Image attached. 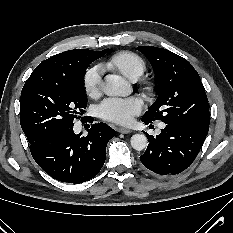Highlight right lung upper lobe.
Returning a JSON list of instances; mask_svg holds the SVG:
<instances>
[{"label": "right lung upper lobe", "instance_id": "cb5924a9", "mask_svg": "<svg viewBox=\"0 0 233 233\" xmlns=\"http://www.w3.org/2000/svg\"><path fill=\"white\" fill-rule=\"evenodd\" d=\"M107 52V49L103 51H92L87 49H75L65 51L63 53L54 55L43 62H41L36 68L35 71H44L49 73H65L70 67L71 60L74 56L77 55H98L103 56Z\"/></svg>", "mask_w": 233, "mask_h": 233}]
</instances>
